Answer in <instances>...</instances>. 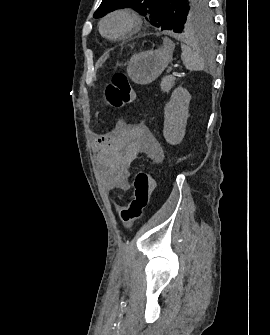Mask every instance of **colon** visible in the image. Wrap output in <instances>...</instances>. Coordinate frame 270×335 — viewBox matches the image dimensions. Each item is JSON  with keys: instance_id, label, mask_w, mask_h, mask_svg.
I'll return each instance as SVG.
<instances>
[{"instance_id": "1", "label": "colon", "mask_w": 270, "mask_h": 335, "mask_svg": "<svg viewBox=\"0 0 270 335\" xmlns=\"http://www.w3.org/2000/svg\"><path fill=\"white\" fill-rule=\"evenodd\" d=\"M107 99L116 107L128 105L133 101L134 92L125 73L117 72L112 76ZM154 184V178L150 173L144 170L137 172L132 199L126 205L119 207L125 224L132 225L144 217L145 210L151 201Z\"/></svg>"}]
</instances>
